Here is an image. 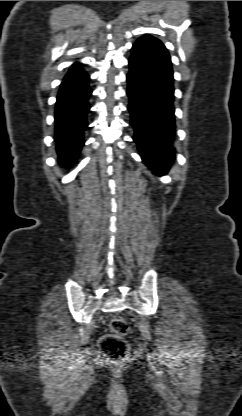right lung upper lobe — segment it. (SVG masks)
I'll return each mask as SVG.
<instances>
[{
  "mask_svg": "<svg viewBox=\"0 0 242 416\" xmlns=\"http://www.w3.org/2000/svg\"><path fill=\"white\" fill-rule=\"evenodd\" d=\"M73 69H74L75 71H77V70H81L82 68L78 67V66H77V64H74V65H73Z\"/></svg>",
  "mask_w": 242,
  "mask_h": 416,
  "instance_id": "1",
  "label": "right lung upper lobe"
}]
</instances>
